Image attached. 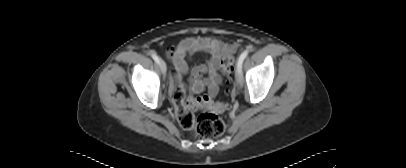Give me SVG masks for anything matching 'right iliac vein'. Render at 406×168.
<instances>
[{
  "label": "right iliac vein",
  "mask_w": 406,
  "mask_h": 168,
  "mask_svg": "<svg viewBox=\"0 0 406 168\" xmlns=\"http://www.w3.org/2000/svg\"><path fill=\"white\" fill-rule=\"evenodd\" d=\"M160 68H161L162 74L165 75V74H166L167 67H166L165 62H164L163 60H161V59H160Z\"/></svg>",
  "instance_id": "obj_1"
}]
</instances>
